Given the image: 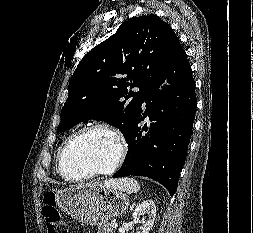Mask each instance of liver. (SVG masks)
I'll return each mask as SVG.
<instances>
[{"instance_id": "1", "label": "liver", "mask_w": 253, "mask_h": 233, "mask_svg": "<svg viewBox=\"0 0 253 233\" xmlns=\"http://www.w3.org/2000/svg\"><path fill=\"white\" fill-rule=\"evenodd\" d=\"M94 183H101V182H94ZM105 186H111L112 180H107L103 183Z\"/></svg>"}]
</instances>
